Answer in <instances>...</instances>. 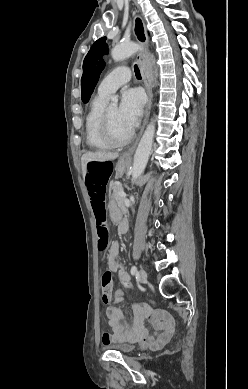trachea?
<instances>
[{"label": "trachea", "instance_id": "obj_1", "mask_svg": "<svg viewBox=\"0 0 248 389\" xmlns=\"http://www.w3.org/2000/svg\"><path fill=\"white\" fill-rule=\"evenodd\" d=\"M134 71L137 79H141L140 70L137 65L134 66Z\"/></svg>", "mask_w": 248, "mask_h": 389}]
</instances>
